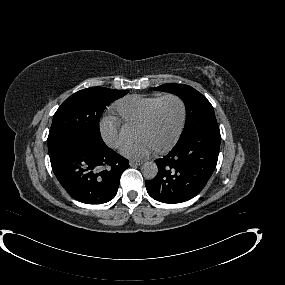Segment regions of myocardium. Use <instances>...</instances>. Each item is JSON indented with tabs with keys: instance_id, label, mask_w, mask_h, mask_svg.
Here are the masks:
<instances>
[{
	"instance_id": "f54148a6",
	"label": "myocardium",
	"mask_w": 285,
	"mask_h": 285,
	"mask_svg": "<svg viewBox=\"0 0 285 285\" xmlns=\"http://www.w3.org/2000/svg\"><path fill=\"white\" fill-rule=\"evenodd\" d=\"M167 100H175L179 103V105H180V117H179L177 127H176L174 133L172 134V136L165 143L156 146V149L159 151H163V150H166L169 147H171L176 142V140L179 138V136L183 130V126H184V122H185V116H186V106H185V103L182 100V98H180L176 94H167L165 96H162L157 101V103H156L155 107L153 108L149 117L139 125V129H145V128L150 127L154 123V121L157 119L161 105Z\"/></svg>"
}]
</instances>
